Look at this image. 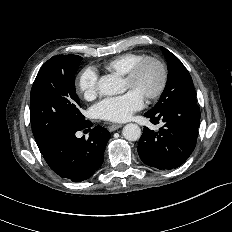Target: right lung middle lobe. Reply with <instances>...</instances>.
Returning <instances> with one entry per match:
<instances>
[{
  "label": "right lung middle lobe",
  "mask_w": 232,
  "mask_h": 232,
  "mask_svg": "<svg viewBox=\"0 0 232 232\" xmlns=\"http://www.w3.org/2000/svg\"><path fill=\"white\" fill-rule=\"evenodd\" d=\"M81 60L77 55L53 56L36 76L31 89L30 118L42 154L60 132L86 123L74 83Z\"/></svg>",
  "instance_id": "obj_1"
}]
</instances>
